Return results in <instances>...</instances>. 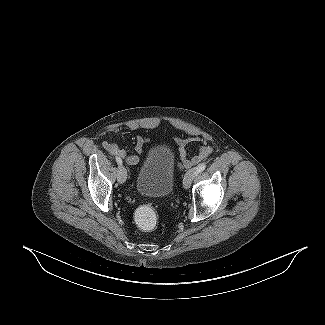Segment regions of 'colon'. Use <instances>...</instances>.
Masks as SVG:
<instances>
[{
    "label": "colon",
    "mask_w": 325,
    "mask_h": 325,
    "mask_svg": "<svg viewBox=\"0 0 325 325\" xmlns=\"http://www.w3.org/2000/svg\"><path fill=\"white\" fill-rule=\"evenodd\" d=\"M135 221L144 231L155 229L159 223V215L151 205H143L135 212Z\"/></svg>",
    "instance_id": "colon-1"
}]
</instances>
